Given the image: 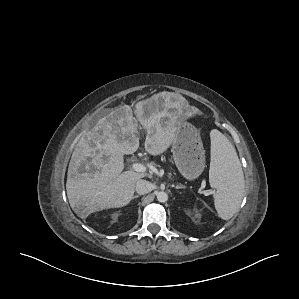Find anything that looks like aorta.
Returning a JSON list of instances; mask_svg holds the SVG:
<instances>
[{
  "mask_svg": "<svg viewBox=\"0 0 299 299\" xmlns=\"http://www.w3.org/2000/svg\"><path fill=\"white\" fill-rule=\"evenodd\" d=\"M157 200L161 203H164L168 200V195L164 191H160L156 194Z\"/></svg>",
  "mask_w": 299,
  "mask_h": 299,
  "instance_id": "obj_1",
  "label": "aorta"
}]
</instances>
